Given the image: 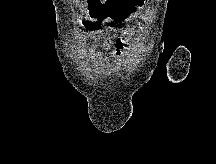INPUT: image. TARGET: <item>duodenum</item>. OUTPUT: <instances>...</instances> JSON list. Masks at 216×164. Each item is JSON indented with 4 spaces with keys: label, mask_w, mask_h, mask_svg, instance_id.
<instances>
[{
    "label": "duodenum",
    "mask_w": 216,
    "mask_h": 164,
    "mask_svg": "<svg viewBox=\"0 0 216 164\" xmlns=\"http://www.w3.org/2000/svg\"><path fill=\"white\" fill-rule=\"evenodd\" d=\"M91 9H101L107 6V0H88Z\"/></svg>",
    "instance_id": "1"
}]
</instances>
